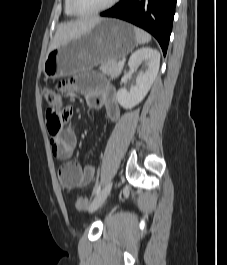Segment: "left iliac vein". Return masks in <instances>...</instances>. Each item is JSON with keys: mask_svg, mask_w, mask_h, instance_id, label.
<instances>
[{"mask_svg": "<svg viewBox=\"0 0 227 265\" xmlns=\"http://www.w3.org/2000/svg\"><path fill=\"white\" fill-rule=\"evenodd\" d=\"M111 188H112V181H109L105 185V187L97 194V196L94 198V200L90 204L89 209H88L90 213H93L94 211H96L98 208L102 206V204L107 199L111 191Z\"/></svg>", "mask_w": 227, "mask_h": 265, "instance_id": "4c4485c4", "label": "left iliac vein"}]
</instances>
